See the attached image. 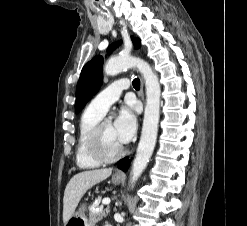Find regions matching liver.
Instances as JSON below:
<instances>
[{"instance_id": "6515ba94", "label": "liver", "mask_w": 247, "mask_h": 226, "mask_svg": "<svg viewBox=\"0 0 247 226\" xmlns=\"http://www.w3.org/2000/svg\"><path fill=\"white\" fill-rule=\"evenodd\" d=\"M112 169H96L80 172L74 175L68 182L63 198V222L64 224L74 214L82 196L95 184L107 179Z\"/></svg>"}]
</instances>
